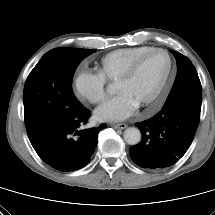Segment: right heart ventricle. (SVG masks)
Returning a JSON list of instances; mask_svg holds the SVG:
<instances>
[{
    "mask_svg": "<svg viewBox=\"0 0 215 215\" xmlns=\"http://www.w3.org/2000/svg\"><path fill=\"white\" fill-rule=\"evenodd\" d=\"M148 46L120 48L105 54L98 62V72L106 81L115 82L128 65L144 52Z\"/></svg>",
    "mask_w": 215,
    "mask_h": 215,
    "instance_id": "1",
    "label": "right heart ventricle"
}]
</instances>
